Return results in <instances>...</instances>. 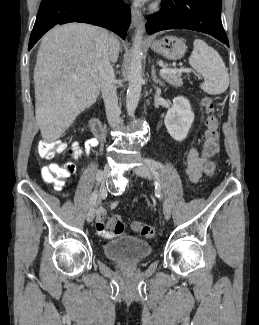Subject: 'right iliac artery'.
Wrapping results in <instances>:
<instances>
[{
	"label": "right iliac artery",
	"instance_id": "1",
	"mask_svg": "<svg viewBox=\"0 0 259 325\" xmlns=\"http://www.w3.org/2000/svg\"><path fill=\"white\" fill-rule=\"evenodd\" d=\"M101 174H102V171H98V173L94 176V179L95 181L93 182V193L91 195V198H90V204L93 205L95 202H96V199H97V193H98V187L100 185V179H101ZM104 193V192H102Z\"/></svg>",
	"mask_w": 259,
	"mask_h": 325
}]
</instances>
